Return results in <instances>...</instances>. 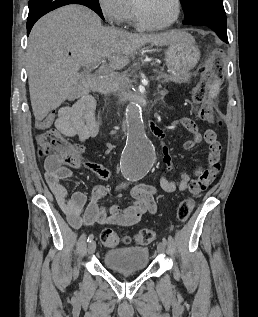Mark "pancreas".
Segmentation results:
<instances>
[{
	"label": "pancreas",
	"instance_id": "obj_1",
	"mask_svg": "<svg viewBox=\"0 0 258 317\" xmlns=\"http://www.w3.org/2000/svg\"><path fill=\"white\" fill-rule=\"evenodd\" d=\"M172 81L173 80L170 77H162L161 78V83L162 84H171ZM114 83H118L117 86H116L118 90H123L124 87H125L123 81H119V78H114ZM108 84H113V80L105 81V85L102 86V88H106V86H108ZM127 87L129 88L130 86L128 85ZM155 90L161 96H166L168 94V91L166 89H163L162 86H158L157 85Z\"/></svg>",
	"mask_w": 258,
	"mask_h": 317
}]
</instances>
